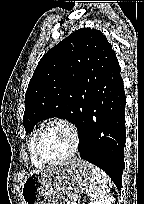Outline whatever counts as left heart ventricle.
Returning a JSON list of instances; mask_svg holds the SVG:
<instances>
[{"label":"left heart ventricle","instance_id":"obj_1","mask_svg":"<svg viewBox=\"0 0 144 204\" xmlns=\"http://www.w3.org/2000/svg\"><path fill=\"white\" fill-rule=\"evenodd\" d=\"M72 147L70 132L62 126H51L40 136L38 152L46 160H56L69 153Z\"/></svg>","mask_w":144,"mask_h":204}]
</instances>
